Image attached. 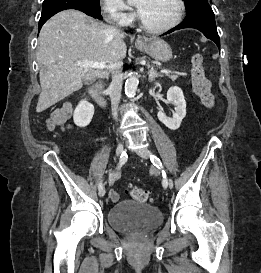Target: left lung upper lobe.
<instances>
[{
  "instance_id": "left-lung-upper-lobe-1",
  "label": "left lung upper lobe",
  "mask_w": 261,
  "mask_h": 273,
  "mask_svg": "<svg viewBox=\"0 0 261 273\" xmlns=\"http://www.w3.org/2000/svg\"><path fill=\"white\" fill-rule=\"evenodd\" d=\"M186 12H189L193 7L208 3V0H184Z\"/></svg>"
}]
</instances>
